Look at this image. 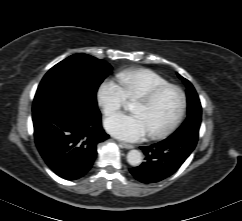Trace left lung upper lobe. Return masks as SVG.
<instances>
[{
    "label": "left lung upper lobe",
    "instance_id": "left-lung-upper-lobe-1",
    "mask_svg": "<svg viewBox=\"0 0 242 221\" xmlns=\"http://www.w3.org/2000/svg\"><path fill=\"white\" fill-rule=\"evenodd\" d=\"M179 78L187 85L188 115L184 123L173 134L199 133L201 124V104L192 84L182 76Z\"/></svg>",
    "mask_w": 242,
    "mask_h": 221
}]
</instances>
